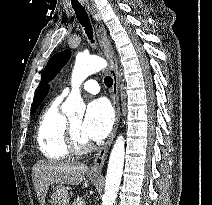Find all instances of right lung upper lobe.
<instances>
[{
  "label": "right lung upper lobe",
  "mask_w": 212,
  "mask_h": 205,
  "mask_svg": "<svg viewBox=\"0 0 212 205\" xmlns=\"http://www.w3.org/2000/svg\"><path fill=\"white\" fill-rule=\"evenodd\" d=\"M47 91H48V87L45 88V89H43V90H38L36 92V95H35L34 100H33L32 107H35V106H39L40 105V103L42 102V100L46 96Z\"/></svg>",
  "instance_id": "cb5924a9"
}]
</instances>
